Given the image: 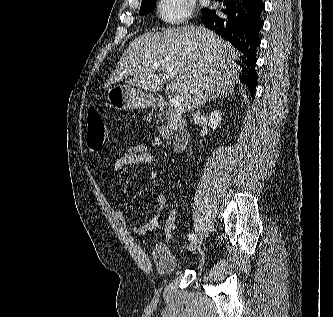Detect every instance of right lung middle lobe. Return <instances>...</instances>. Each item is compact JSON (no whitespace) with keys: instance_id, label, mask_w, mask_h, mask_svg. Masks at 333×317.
<instances>
[{"instance_id":"obj_1","label":"right lung middle lobe","mask_w":333,"mask_h":317,"mask_svg":"<svg viewBox=\"0 0 333 317\" xmlns=\"http://www.w3.org/2000/svg\"><path fill=\"white\" fill-rule=\"evenodd\" d=\"M156 0H144L141 3L140 14L145 15L151 12L155 7Z\"/></svg>"}]
</instances>
